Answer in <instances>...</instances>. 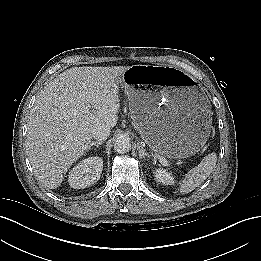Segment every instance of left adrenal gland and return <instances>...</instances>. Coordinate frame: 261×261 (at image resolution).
Returning <instances> with one entry per match:
<instances>
[{"label": "left adrenal gland", "instance_id": "1", "mask_svg": "<svg viewBox=\"0 0 261 261\" xmlns=\"http://www.w3.org/2000/svg\"><path fill=\"white\" fill-rule=\"evenodd\" d=\"M137 150L139 152V158L140 159H142V158H148L149 159L150 158V156L145 152V149L142 146L138 145Z\"/></svg>", "mask_w": 261, "mask_h": 261}]
</instances>
